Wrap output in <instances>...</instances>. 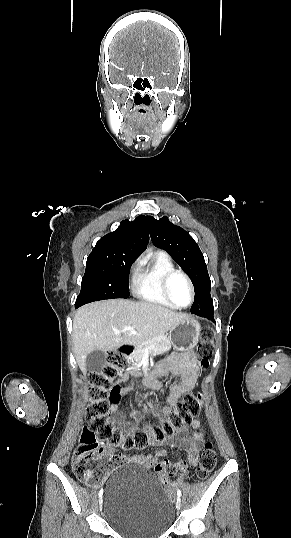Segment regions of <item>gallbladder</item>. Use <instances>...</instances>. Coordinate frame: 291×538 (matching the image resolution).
I'll return each mask as SVG.
<instances>
[{"instance_id": "bac80fb5", "label": "gallbladder", "mask_w": 291, "mask_h": 538, "mask_svg": "<svg viewBox=\"0 0 291 538\" xmlns=\"http://www.w3.org/2000/svg\"><path fill=\"white\" fill-rule=\"evenodd\" d=\"M107 354L101 350L91 352L86 357V370L95 373L101 370L106 363Z\"/></svg>"}]
</instances>
